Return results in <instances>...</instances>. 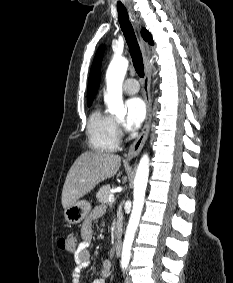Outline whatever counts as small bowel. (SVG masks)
<instances>
[{
  "instance_id": "obj_1",
  "label": "small bowel",
  "mask_w": 233,
  "mask_h": 283,
  "mask_svg": "<svg viewBox=\"0 0 233 283\" xmlns=\"http://www.w3.org/2000/svg\"><path fill=\"white\" fill-rule=\"evenodd\" d=\"M103 210L96 208L85 219L81 227V243L75 253L74 272L72 275V283H82L80 272L83 268L88 266L90 261L89 247L93 239V222L102 215ZM111 263L109 260L103 262L100 276L93 280L92 283H105V280L110 275Z\"/></svg>"
}]
</instances>
